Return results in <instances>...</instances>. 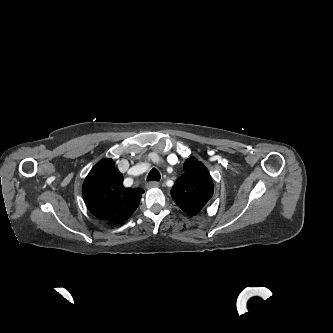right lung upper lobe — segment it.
<instances>
[{
  "mask_svg": "<svg viewBox=\"0 0 333 333\" xmlns=\"http://www.w3.org/2000/svg\"><path fill=\"white\" fill-rule=\"evenodd\" d=\"M123 176L112 159L97 163L86 177L82 192L89 211L97 218L112 223L127 220L139 205L144 190L125 188Z\"/></svg>",
  "mask_w": 333,
  "mask_h": 333,
  "instance_id": "right-lung-upper-lobe-1",
  "label": "right lung upper lobe"
}]
</instances>
